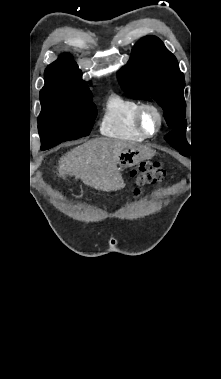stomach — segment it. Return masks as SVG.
Returning a JSON list of instances; mask_svg holds the SVG:
<instances>
[{"mask_svg":"<svg viewBox=\"0 0 221 379\" xmlns=\"http://www.w3.org/2000/svg\"><path fill=\"white\" fill-rule=\"evenodd\" d=\"M153 156V151L145 146L134 145L122 151L118 158L119 169L132 167L141 161L150 159Z\"/></svg>","mask_w":221,"mask_h":379,"instance_id":"obj_1","label":"stomach"}]
</instances>
